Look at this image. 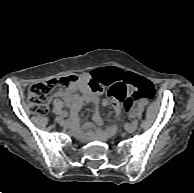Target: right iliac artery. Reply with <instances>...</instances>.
<instances>
[{
    "mask_svg": "<svg viewBox=\"0 0 194 193\" xmlns=\"http://www.w3.org/2000/svg\"><path fill=\"white\" fill-rule=\"evenodd\" d=\"M70 117H76V114L71 113Z\"/></svg>",
    "mask_w": 194,
    "mask_h": 193,
    "instance_id": "1",
    "label": "right iliac artery"
}]
</instances>
